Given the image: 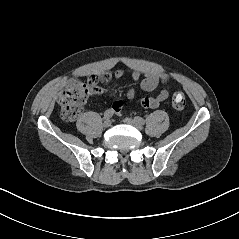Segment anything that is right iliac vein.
Listing matches in <instances>:
<instances>
[{
	"mask_svg": "<svg viewBox=\"0 0 239 239\" xmlns=\"http://www.w3.org/2000/svg\"><path fill=\"white\" fill-rule=\"evenodd\" d=\"M103 126L105 128H108L111 126V120L110 119H106L104 122H103Z\"/></svg>",
	"mask_w": 239,
	"mask_h": 239,
	"instance_id": "63e3f726",
	"label": "right iliac vein"
}]
</instances>
